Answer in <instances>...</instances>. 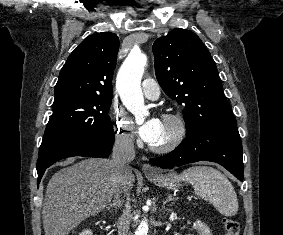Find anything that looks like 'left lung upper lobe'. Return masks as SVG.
<instances>
[{"label": "left lung upper lobe", "instance_id": "1", "mask_svg": "<svg viewBox=\"0 0 283 235\" xmlns=\"http://www.w3.org/2000/svg\"><path fill=\"white\" fill-rule=\"evenodd\" d=\"M156 78L183 106L186 135L236 125L216 64L193 32L176 28L153 44Z\"/></svg>", "mask_w": 283, "mask_h": 235}]
</instances>
